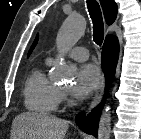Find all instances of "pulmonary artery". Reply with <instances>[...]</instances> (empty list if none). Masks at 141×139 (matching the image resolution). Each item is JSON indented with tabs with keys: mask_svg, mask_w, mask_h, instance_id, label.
Instances as JSON below:
<instances>
[{
	"mask_svg": "<svg viewBox=\"0 0 141 139\" xmlns=\"http://www.w3.org/2000/svg\"><path fill=\"white\" fill-rule=\"evenodd\" d=\"M67 56L77 61H85L89 57V52L84 47H74L67 51Z\"/></svg>",
	"mask_w": 141,
	"mask_h": 139,
	"instance_id": "e3ab8cb5",
	"label": "pulmonary artery"
}]
</instances>
